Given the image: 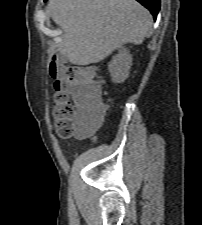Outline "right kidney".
<instances>
[{
  "instance_id": "1",
  "label": "right kidney",
  "mask_w": 202,
  "mask_h": 225,
  "mask_svg": "<svg viewBox=\"0 0 202 225\" xmlns=\"http://www.w3.org/2000/svg\"><path fill=\"white\" fill-rule=\"evenodd\" d=\"M132 65V57L126 49L119 50L108 64V69L115 83L124 82L129 76V70Z\"/></svg>"
}]
</instances>
